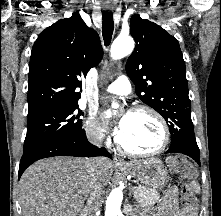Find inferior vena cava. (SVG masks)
Returning a JSON list of instances; mask_svg holds the SVG:
<instances>
[{
    "label": "inferior vena cava",
    "mask_w": 221,
    "mask_h": 216,
    "mask_svg": "<svg viewBox=\"0 0 221 216\" xmlns=\"http://www.w3.org/2000/svg\"><path fill=\"white\" fill-rule=\"evenodd\" d=\"M89 140L95 145H101L102 133L95 132L90 135ZM87 172L90 181V191L87 199V207L84 216H95L99 205V199L102 194V183L100 180V171L98 165L94 160L87 161Z\"/></svg>",
    "instance_id": "602c4592"
}]
</instances>
